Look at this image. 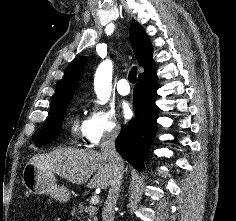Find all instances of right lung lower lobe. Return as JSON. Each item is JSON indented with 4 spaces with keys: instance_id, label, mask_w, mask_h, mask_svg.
<instances>
[{
    "instance_id": "obj_1",
    "label": "right lung lower lobe",
    "mask_w": 236,
    "mask_h": 221,
    "mask_svg": "<svg viewBox=\"0 0 236 221\" xmlns=\"http://www.w3.org/2000/svg\"><path fill=\"white\" fill-rule=\"evenodd\" d=\"M157 89L155 69L139 76L133 95L135 118L116 139L117 151L138 170L144 169L146 154L156 132Z\"/></svg>"
}]
</instances>
